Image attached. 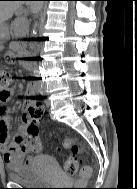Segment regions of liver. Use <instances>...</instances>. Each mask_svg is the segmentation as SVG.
Returning <instances> with one entry per match:
<instances>
[{
	"label": "liver",
	"mask_w": 137,
	"mask_h": 189,
	"mask_svg": "<svg viewBox=\"0 0 137 189\" xmlns=\"http://www.w3.org/2000/svg\"><path fill=\"white\" fill-rule=\"evenodd\" d=\"M22 1H0V26L4 22L11 18L13 13L22 5ZM34 11H38L41 8V4L37 2H28Z\"/></svg>",
	"instance_id": "1"
}]
</instances>
